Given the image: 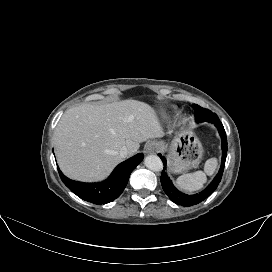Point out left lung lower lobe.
Returning a JSON list of instances; mask_svg holds the SVG:
<instances>
[{
	"label": "left lung lower lobe",
	"mask_w": 272,
	"mask_h": 272,
	"mask_svg": "<svg viewBox=\"0 0 272 272\" xmlns=\"http://www.w3.org/2000/svg\"><path fill=\"white\" fill-rule=\"evenodd\" d=\"M207 122L213 123L218 128L219 134L222 139V145H221V147H222V162H221L220 170H219L218 174L215 176V178L213 179V181L208 185V187L204 191H202L201 193H198V194H194V195H187V194H184V193L178 191L174 187V185L172 184V181L168 177L165 170H163L162 174H161V178H160L163 190L168 195V197L174 203H176L178 205L192 206V205L202 202L210 194H212L214 192V190L217 188L218 184L221 181L224 166H225L226 156H227L226 133H225L224 127H223L221 121L219 120L218 116L215 118H212L210 120H207ZM158 155L161 158V160L163 161L164 167L166 168L165 157L162 156L161 154H158Z\"/></svg>",
	"instance_id": "obj_1"
}]
</instances>
